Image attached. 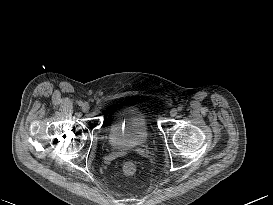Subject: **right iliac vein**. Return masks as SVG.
<instances>
[{
	"instance_id": "obj_1",
	"label": "right iliac vein",
	"mask_w": 273,
	"mask_h": 205,
	"mask_svg": "<svg viewBox=\"0 0 273 205\" xmlns=\"http://www.w3.org/2000/svg\"><path fill=\"white\" fill-rule=\"evenodd\" d=\"M89 109H90L89 104L84 103V104L82 105V110H83V112H88Z\"/></svg>"
}]
</instances>
